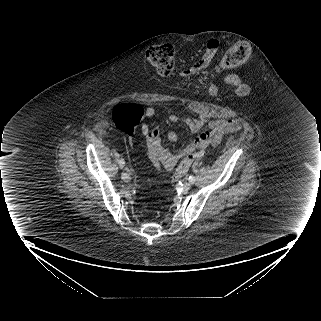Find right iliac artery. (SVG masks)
<instances>
[{
  "mask_svg": "<svg viewBox=\"0 0 321 321\" xmlns=\"http://www.w3.org/2000/svg\"><path fill=\"white\" fill-rule=\"evenodd\" d=\"M118 163H119V166H120L121 168H123L124 165H125V161H124L123 159H120V160L118 161Z\"/></svg>",
  "mask_w": 321,
  "mask_h": 321,
  "instance_id": "obj_1",
  "label": "right iliac artery"
}]
</instances>
